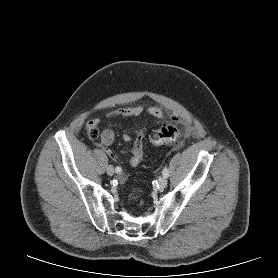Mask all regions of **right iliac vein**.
Here are the masks:
<instances>
[{
	"mask_svg": "<svg viewBox=\"0 0 278 278\" xmlns=\"http://www.w3.org/2000/svg\"><path fill=\"white\" fill-rule=\"evenodd\" d=\"M106 171H107V174H108V175L112 176V175L114 174V168H113V166H108L107 169H106Z\"/></svg>",
	"mask_w": 278,
	"mask_h": 278,
	"instance_id": "right-iliac-vein-1",
	"label": "right iliac vein"
}]
</instances>
